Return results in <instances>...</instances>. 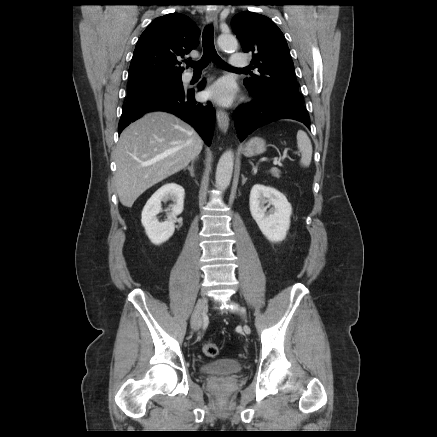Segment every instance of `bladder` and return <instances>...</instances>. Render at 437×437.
I'll list each match as a JSON object with an SVG mask.
<instances>
[{
  "mask_svg": "<svg viewBox=\"0 0 437 437\" xmlns=\"http://www.w3.org/2000/svg\"><path fill=\"white\" fill-rule=\"evenodd\" d=\"M242 363L233 358H221L202 364L199 371L202 375H233L241 372Z\"/></svg>",
  "mask_w": 437,
  "mask_h": 437,
  "instance_id": "bladder-1",
  "label": "bladder"
}]
</instances>
